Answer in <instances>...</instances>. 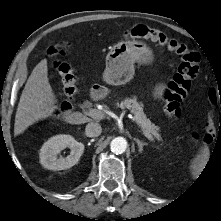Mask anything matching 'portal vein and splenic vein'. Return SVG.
I'll return each instance as SVG.
<instances>
[{
  "instance_id": "portal-vein-and-splenic-vein-1",
  "label": "portal vein and splenic vein",
  "mask_w": 221,
  "mask_h": 221,
  "mask_svg": "<svg viewBox=\"0 0 221 221\" xmlns=\"http://www.w3.org/2000/svg\"><path fill=\"white\" fill-rule=\"evenodd\" d=\"M88 116L94 118V119H98V120H101L103 118H105V114L104 112L100 111V110H97V109H89L88 112H87ZM141 131H142V134L147 138L149 139L150 141H153V137L150 133H148L147 131H145L143 128H141Z\"/></svg>"
}]
</instances>
